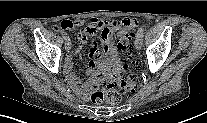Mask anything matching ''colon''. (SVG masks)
Masks as SVG:
<instances>
[{
	"instance_id": "obj_1",
	"label": "colon",
	"mask_w": 207,
	"mask_h": 123,
	"mask_svg": "<svg viewBox=\"0 0 207 123\" xmlns=\"http://www.w3.org/2000/svg\"><path fill=\"white\" fill-rule=\"evenodd\" d=\"M134 28L126 29L118 40V49L123 57L124 68L128 70L125 75L114 74L109 77L102 89L97 90L91 96L97 104H116L122 100L126 93L137 90L140 80L138 76L132 74L130 69L135 65L134 48L132 44Z\"/></svg>"
}]
</instances>
